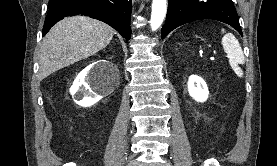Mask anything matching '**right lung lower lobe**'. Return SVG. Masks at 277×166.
I'll return each mask as SVG.
<instances>
[{"label": "right lung lower lobe", "instance_id": "1", "mask_svg": "<svg viewBox=\"0 0 277 166\" xmlns=\"http://www.w3.org/2000/svg\"><path fill=\"white\" fill-rule=\"evenodd\" d=\"M48 6L43 36L65 16L81 14L109 24L125 39H130L131 0H49Z\"/></svg>", "mask_w": 277, "mask_h": 166}]
</instances>
